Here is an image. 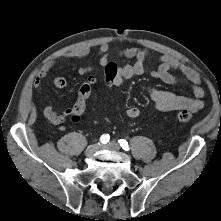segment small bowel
<instances>
[{"instance_id":"c3829d8e","label":"small bowel","mask_w":221,"mask_h":221,"mask_svg":"<svg viewBox=\"0 0 221 221\" xmlns=\"http://www.w3.org/2000/svg\"><path fill=\"white\" fill-rule=\"evenodd\" d=\"M91 53L89 47H81L77 50L67 52L62 55L65 60H79L87 58ZM99 61L102 66H106L108 61H111L110 45L103 43L98 49ZM117 56L132 59L134 62L128 65H119V72L116 74V80L112 86H120L127 79L142 75L147 70V59L150 56V51L140 48H129L116 53ZM57 60L52 59L47 61L38 71L35 80L34 88L42 91V80L45 79L49 71L56 65ZM92 67L85 66L79 69V74L85 76L89 74ZM176 70L182 73L192 83V96H184L174 92L152 88L150 97L153 102L154 110L157 112H168L180 109H189L196 111L204 106L203 97L205 90L201 85L199 73L191 67L183 65L177 58L169 55H162L159 58V65L155 70L149 71L150 75L161 81L175 85L179 82L178 78L172 74ZM53 84L58 89H63L67 86V80L62 76H56L53 79ZM43 115L51 124H61L70 119L74 113L73 107L67 108L62 113H57L50 103L46 104L42 109ZM126 115L129 118H137L140 115V109L137 106H130L126 110Z\"/></svg>"}]
</instances>
